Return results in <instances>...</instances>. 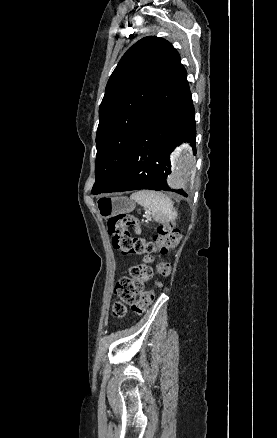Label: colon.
Instances as JSON below:
<instances>
[{"instance_id":"colon-1","label":"colon","mask_w":277,"mask_h":438,"mask_svg":"<svg viewBox=\"0 0 277 438\" xmlns=\"http://www.w3.org/2000/svg\"><path fill=\"white\" fill-rule=\"evenodd\" d=\"M130 228L136 231L140 229L139 221L130 215H113L108 220L107 230L113 247L126 257L135 255L144 257L142 263L130 268L128 276L117 280L115 290L117 300L112 304V311L116 316L124 315L128 307L136 314L143 313L149 307L155 298L156 289L162 286L160 281H156L153 290L142 292L144 283L153 277L154 255L173 249L181 239L180 230L175 223L158 225L157 235L152 237L133 236ZM156 269L161 277H168L171 273V264L162 261L156 265Z\"/></svg>"}]
</instances>
